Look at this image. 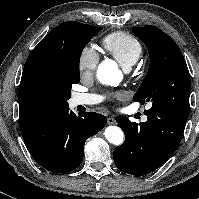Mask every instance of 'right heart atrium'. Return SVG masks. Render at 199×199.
I'll return each mask as SVG.
<instances>
[{"label":"right heart atrium","mask_w":199,"mask_h":199,"mask_svg":"<svg viewBox=\"0 0 199 199\" xmlns=\"http://www.w3.org/2000/svg\"><path fill=\"white\" fill-rule=\"evenodd\" d=\"M99 62V56L97 52L90 46H85L78 60L79 72L82 76L92 74Z\"/></svg>","instance_id":"right-heart-atrium-1"}]
</instances>
